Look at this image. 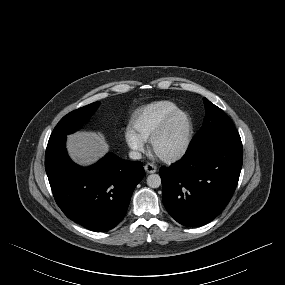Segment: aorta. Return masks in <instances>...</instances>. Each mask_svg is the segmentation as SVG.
I'll list each match as a JSON object with an SVG mask.
<instances>
[{
	"mask_svg": "<svg viewBox=\"0 0 285 285\" xmlns=\"http://www.w3.org/2000/svg\"><path fill=\"white\" fill-rule=\"evenodd\" d=\"M147 185L151 188H158L161 185V178L158 174H151L147 177Z\"/></svg>",
	"mask_w": 285,
	"mask_h": 285,
	"instance_id": "1",
	"label": "aorta"
}]
</instances>
